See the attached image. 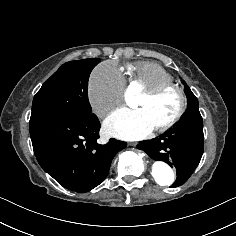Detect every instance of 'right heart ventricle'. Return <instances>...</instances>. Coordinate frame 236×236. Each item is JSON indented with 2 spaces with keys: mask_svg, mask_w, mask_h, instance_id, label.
Masks as SVG:
<instances>
[{
  "mask_svg": "<svg viewBox=\"0 0 236 236\" xmlns=\"http://www.w3.org/2000/svg\"><path fill=\"white\" fill-rule=\"evenodd\" d=\"M125 70L131 85L137 86L141 91L174 81L172 74L166 68L154 62L128 63Z\"/></svg>",
  "mask_w": 236,
  "mask_h": 236,
  "instance_id": "e07e8e85",
  "label": "right heart ventricle"
}]
</instances>
